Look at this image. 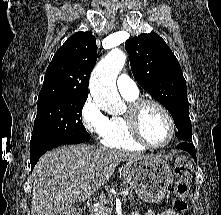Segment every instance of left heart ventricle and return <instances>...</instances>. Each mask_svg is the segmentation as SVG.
Instances as JSON below:
<instances>
[{
	"instance_id": "obj_1",
	"label": "left heart ventricle",
	"mask_w": 221,
	"mask_h": 215,
	"mask_svg": "<svg viewBox=\"0 0 221 215\" xmlns=\"http://www.w3.org/2000/svg\"><path fill=\"white\" fill-rule=\"evenodd\" d=\"M140 126L144 137L154 145L163 144L169 136V122L154 105L148 104L142 109Z\"/></svg>"
}]
</instances>
